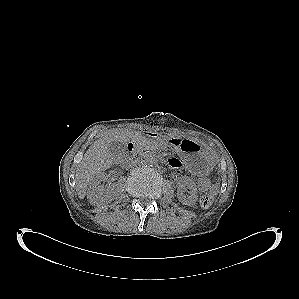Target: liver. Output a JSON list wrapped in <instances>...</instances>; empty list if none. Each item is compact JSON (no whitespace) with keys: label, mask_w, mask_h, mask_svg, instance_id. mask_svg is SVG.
<instances>
[{"label":"liver","mask_w":299,"mask_h":299,"mask_svg":"<svg viewBox=\"0 0 299 299\" xmlns=\"http://www.w3.org/2000/svg\"><path fill=\"white\" fill-rule=\"evenodd\" d=\"M136 131L128 129L109 130L89 147L84 157L77 167L75 175V185L80 199L86 195L89 182L94 177L109 169L115 162L117 154L109 152V146L112 142L117 141L127 143L130 139L136 137Z\"/></svg>","instance_id":"6515ba94"}]
</instances>
